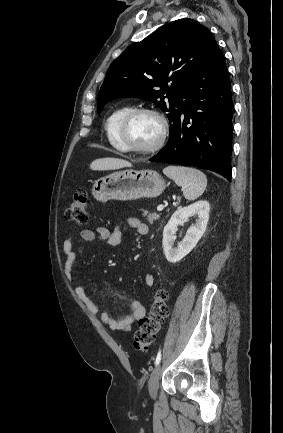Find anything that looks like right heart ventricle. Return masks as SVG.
I'll return each instance as SVG.
<instances>
[{
	"mask_svg": "<svg viewBox=\"0 0 283 433\" xmlns=\"http://www.w3.org/2000/svg\"><path fill=\"white\" fill-rule=\"evenodd\" d=\"M129 106H122L115 109L106 119L105 121V134L110 143V145L119 152H125L123 147L118 141L117 131L119 123L122 117L130 110Z\"/></svg>",
	"mask_w": 283,
	"mask_h": 433,
	"instance_id": "1",
	"label": "right heart ventricle"
}]
</instances>
